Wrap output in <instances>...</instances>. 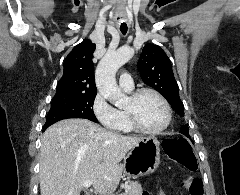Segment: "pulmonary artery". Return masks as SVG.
<instances>
[{
    "label": "pulmonary artery",
    "mask_w": 240,
    "mask_h": 195,
    "mask_svg": "<svg viewBox=\"0 0 240 195\" xmlns=\"http://www.w3.org/2000/svg\"><path fill=\"white\" fill-rule=\"evenodd\" d=\"M120 86L125 89H133V79L129 74H124L123 77L119 79Z\"/></svg>",
    "instance_id": "obj_1"
}]
</instances>
